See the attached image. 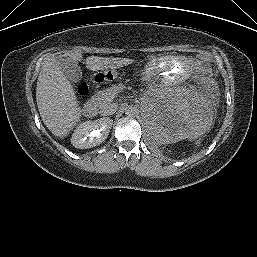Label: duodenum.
<instances>
[{
  "instance_id": "obj_1",
  "label": "duodenum",
  "mask_w": 257,
  "mask_h": 257,
  "mask_svg": "<svg viewBox=\"0 0 257 257\" xmlns=\"http://www.w3.org/2000/svg\"><path fill=\"white\" fill-rule=\"evenodd\" d=\"M97 112V106L92 100H87L83 106V114L87 117H93Z\"/></svg>"
}]
</instances>
